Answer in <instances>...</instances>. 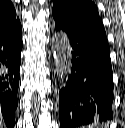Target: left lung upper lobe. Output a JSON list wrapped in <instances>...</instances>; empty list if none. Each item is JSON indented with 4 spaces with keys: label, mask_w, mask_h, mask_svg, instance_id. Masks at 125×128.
I'll use <instances>...</instances> for the list:
<instances>
[{
    "label": "left lung upper lobe",
    "mask_w": 125,
    "mask_h": 128,
    "mask_svg": "<svg viewBox=\"0 0 125 128\" xmlns=\"http://www.w3.org/2000/svg\"><path fill=\"white\" fill-rule=\"evenodd\" d=\"M55 24L107 41L97 7L91 0H54Z\"/></svg>",
    "instance_id": "1"
}]
</instances>
